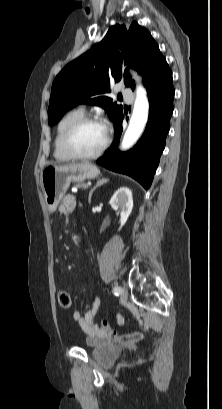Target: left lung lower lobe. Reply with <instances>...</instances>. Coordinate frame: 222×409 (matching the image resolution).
Wrapping results in <instances>:
<instances>
[{"label":"left lung lower lobe","instance_id":"0a47b994","mask_svg":"<svg viewBox=\"0 0 222 409\" xmlns=\"http://www.w3.org/2000/svg\"><path fill=\"white\" fill-rule=\"evenodd\" d=\"M146 87L150 110L144 134L132 150L118 151L117 145L122 133V120L124 118L121 113L114 121V143L105 155L97 160V164L114 172L129 175L145 189H148L158 167L170 128L174 98L171 70L167 69L150 81Z\"/></svg>","mask_w":222,"mask_h":409}]
</instances>
